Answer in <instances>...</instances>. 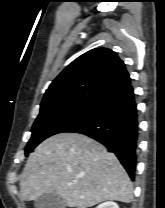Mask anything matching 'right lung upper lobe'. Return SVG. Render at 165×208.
<instances>
[{
	"label": "right lung upper lobe",
	"instance_id": "obj_1",
	"mask_svg": "<svg viewBox=\"0 0 165 208\" xmlns=\"http://www.w3.org/2000/svg\"><path fill=\"white\" fill-rule=\"evenodd\" d=\"M130 83L123 61L112 50L92 49L56 77L46 90L41 108L67 102L96 104Z\"/></svg>",
	"mask_w": 165,
	"mask_h": 208
}]
</instances>
